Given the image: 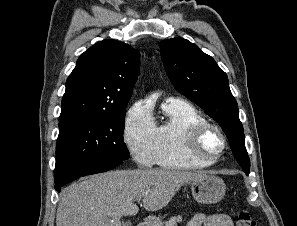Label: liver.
Listing matches in <instances>:
<instances>
[{"label": "liver", "mask_w": 297, "mask_h": 226, "mask_svg": "<svg viewBox=\"0 0 297 226\" xmlns=\"http://www.w3.org/2000/svg\"><path fill=\"white\" fill-rule=\"evenodd\" d=\"M206 176L204 172L168 169L117 170L81 179L63 190L56 226H122L121 217L136 215L143 198L147 211L165 207L178 189Z\"/></svg>", "instance_id": "6515ba94"}]
</instances>
